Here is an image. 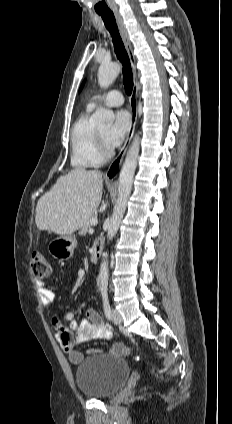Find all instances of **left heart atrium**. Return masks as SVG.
I'll return each mask as SVG.
<instances>
[{
  "label": "left heart atrium",
  "mask_w": 232,
  "mask_h": 424,
  "mask_svg": "<svg viewBox=\"0 0 232 424\" xmlns=\"http://www.w3.org/2000/svg\"><path fill=\"white\" fill-rule=\"evenodd\" d=\"M131 125L132 120L130 114L125 110L118 111L108 135L107 143L112 147L120 145L129 134Z\"/></svg>",
  "instance_id": "obj_1"
}]
</instances>
